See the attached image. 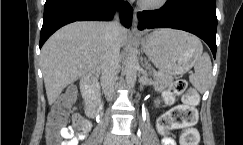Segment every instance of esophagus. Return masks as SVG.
<instances>
[{"mask_svg":"<svg viewBox=\"0 0 243 145\" xmlns=\"http://www.w3.org/2000/svg\"><path fill=\"white\" fill-rule=\"evenodd\" d=\"M137 13H138L137 9H134L133 19H132V31H137V26H138Z\"/></svg>","mask_w":243,"mask_h":145,"instance_id":"1","label":"esophagus"}]
</instances>
